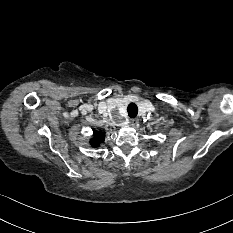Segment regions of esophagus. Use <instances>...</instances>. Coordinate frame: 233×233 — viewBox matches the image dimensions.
Instances as JSON below:
<instances>
[{"label": "esophagus", "instance_id": "esophagus-1", "mask_svg": "<svg viewBox=\"0 0 233 233\" xmlns=\"http://www.w3.org/2000/svg\"><path fill=\"white\" fill-rule=\"evenodd\" d=\"M137 123V120L136 119H130V126H135Z\"/></svg>", "mask_w": 233, "mask_h": 233}]
</instances>
